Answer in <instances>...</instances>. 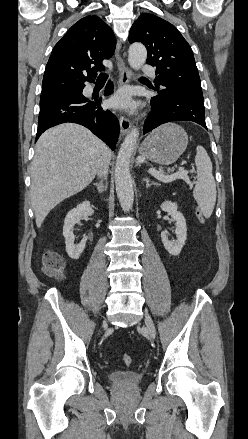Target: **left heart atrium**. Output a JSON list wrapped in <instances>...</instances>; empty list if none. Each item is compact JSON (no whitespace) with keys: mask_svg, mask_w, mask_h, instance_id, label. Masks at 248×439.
<instances>
[{"mask_svg":"<svg viewBox=\"0 0 248 439\" xmlns=\"http://www.w3.org/2000/svg\"><path fill=\"white\" fill-rule=\"evenodd\" d=\"M110 103L113 107L120 109H133L135 107L128 90L119 91L112 97Z\"/></svg>","mask_w":248,"mask_h":439,"instance_id":"left-heart-atrium-1","label":"left heart atrium"}]
</instances>
